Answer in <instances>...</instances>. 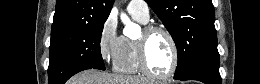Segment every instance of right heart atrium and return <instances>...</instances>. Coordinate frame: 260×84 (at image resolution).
Here are the masks:
<instances>
[{
    "instance_id": "d8ad5b80",
    "label": "right heart atrium",
    "mask_w": 260,
    "mask_h": 84,
    "mask_svg": "<svg viewBox=\"0 0 260 84\" xmlns=\"http://www.w3.org/2000/svg\"><path fill=\"white\" fill-rule=\"evenodd\" d=\"M121 37L117 33L115 19L112 16L107 17L100 28L98 36L99 54L105 62L115 64L120 53Z\"/></svg>"
}]
</instances>
